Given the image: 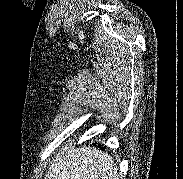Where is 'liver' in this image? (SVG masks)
Instances as JSON below:
<instances>
[{
  "instance_id": "6515ba94",
  "label": "liver",
  "mask_w": 183,
  "mask_h": 179,
  "mask_svg": "<svg viewBox=\"0 0 183 179\" xmlns=\"http://www.w3.org/2000/svg\"><path fill=\"white\" fill-rule=\"evenodd\" d=\"M45 179H119V175L108 153L92 147H70L53 160Z\"/></svg>"
}]
</instances>
